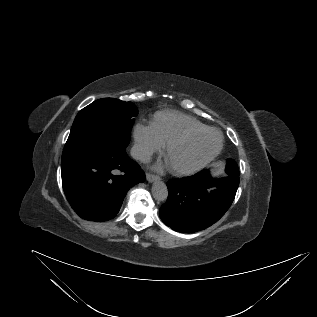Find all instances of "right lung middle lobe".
I'll return each mask as SVG.
<instances>
[{
    "label": "right lung middle lobe",
    "mask_w": 317,
    "mask_h": 317,
    "mask_svg": "<svg viewBox=\"0 0 317 317\" xmlns=\"http://www.w3.org/2000/svg\"><path fill=\"white\" fill-rule=\"evenodd\" d=\"M137 114L132 102L113 98L99 99L83 108L72 125L62 165L81 160L99 149H125Z\"/></svg>",
    "instance_id": "dd1d6c3e"
}]
</instances>
